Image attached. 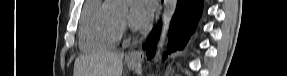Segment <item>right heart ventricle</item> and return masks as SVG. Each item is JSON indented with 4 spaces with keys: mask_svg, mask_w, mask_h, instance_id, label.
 Here are the masks:
<instances>
[{
    "mask_svg": "<svg viewBox=\"0 0 287 76\" xmlns=\"http://www.w3.org/2000/svg\"><path fill=\"white\" fill-rule=\"evenodd\" d=\"M121 31L107 0H88L82 11L80 47L83 51H103L113 48Z\"/></svg>",
    "mask_w": 287,
    "mask_h": 76,
    "instance_id": "1",
    "label": "right heart ventricle"
}]
</instances>
